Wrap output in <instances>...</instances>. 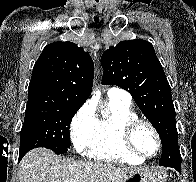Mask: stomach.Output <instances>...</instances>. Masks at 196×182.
<instances>
[{
	"label": "stomach",
	"mask_w": 196,
	"mask_h": 182,
	"mask_svg": "<svg viewBox=\"0 0 196 182\" xmlns=\"http://www.w3.org/2000/svg\"><path fill=\"white\" fill-rule=\"evenodd\" d=\"M125 182H165V174L158 170H141L131 175Z\"/></svg>",
	"instance_id": "obj_1"
}]
</instances>
